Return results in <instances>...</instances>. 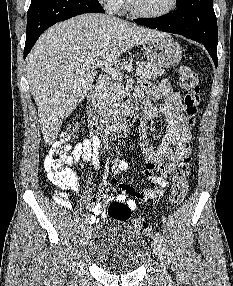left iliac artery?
I'll return each instance as SVG.
<instances>
[{"mask_svg": "<svg viewBox=\"0 0 233 286\" xmlns=\"http://www.w3.org/2000/svg\"><path fill=\"white\" fill-rule=\"evenodd\" d=\"M155 236L161 243L163 242V236L161 235L159 231L155 232Z\"/></svg>", "mask_w": 233, "mask_h": 286, "instance_id": "44dca946", "label": "left iliac artery"}]
</instances>
